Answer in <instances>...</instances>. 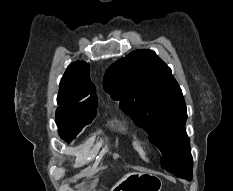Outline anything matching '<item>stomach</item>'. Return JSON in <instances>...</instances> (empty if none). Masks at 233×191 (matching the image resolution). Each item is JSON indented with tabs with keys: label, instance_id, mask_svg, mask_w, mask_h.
Returning <instances> with one entry per match:
<instances>
[{
	"label": "stomach",
	"instance_id": "obj_1",
	"mask_svg": "<svg viewBox=\"0 0 233 191\" xmlns=\"http://www.w3.org/2000/svg\"><path fill=\"white\" fill-rule=\"evenodd\" d=\"M161 179L150 173L132 171L125 174L110 191H161Z\"/></svg>",
	"mask_w": 233,
	"mask_h": 191
}]
</instances>
